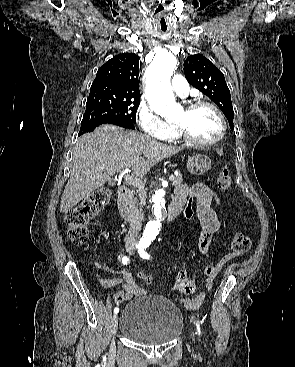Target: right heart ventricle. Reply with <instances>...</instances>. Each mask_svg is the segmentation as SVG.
<instances>
[{"label": "right heart ventricle", "mask_w": 295, "mask_h": 367, "mask_svg": "<svg viewBox=\"0 0 295 367\" xmlns=\"http://www.w3.org/2000/svg\"><path fill=\"white\" fill-rule=\"evenodd\" d=\"M175 137H177V134L176 133L171 138H175Z\"/></svg>", "instance_id": "1"}]
</instances>
